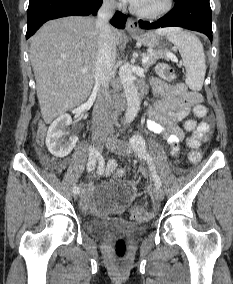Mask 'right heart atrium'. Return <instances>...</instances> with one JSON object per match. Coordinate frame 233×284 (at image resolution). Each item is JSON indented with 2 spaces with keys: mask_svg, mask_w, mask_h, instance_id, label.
Returning a JSON list of instances; mask_svg holds the SVG:
<instances>
[{
  "mask_svg": "<svg viewBox=\"0 0 233 284\" xmlns=\"http://www.w3.org/2000/svg\"><path fill=\"white\" fill-rule=\"evenodd\" d=\"M108 5L115 6L117 4L116 0H104Z\"/></svg>",
  "mask_w": 233,
  "mask_h": 284,
  "instance_id": "1",
  "label": "right heart atrium"
}]
</instances>
